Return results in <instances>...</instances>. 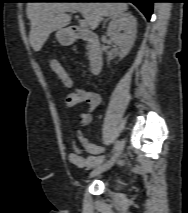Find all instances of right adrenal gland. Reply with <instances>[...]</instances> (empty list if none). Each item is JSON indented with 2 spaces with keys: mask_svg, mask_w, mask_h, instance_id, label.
Wrapping results in <instances>:
<instances>
[{
  "mask_svg": "<svg viewBox=\"0 0 188 213\" xmlns=\"http://www.w3.org/2000/svg\"><path fill=\"white\" fill-rule=\"evenodd\" d=\"M109 19H111V17L105 19V21H104V23H103V26H105L106 22H107Z\"/></svg>",
  "mask_w": 188,
  "mask_h": 213,
  "instance_id": "1",
  "label": "right adrenal gland"
}]
</instances>
